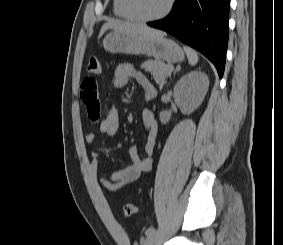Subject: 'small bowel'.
<instances>
[{"instance_id": "obj_1", "label": "small bowel", "mask_w": 283, "mask_h": 245, "mask_svg": "<svg viewBox=\"0 0 283 245\" xmlns=\"http://www.w3.org/2000/svg\"><path fill=\"white\" fill-rule=\"evenodd\" d=\"M131 79H134L141 87L145 101L152 100L156 95V90L144 73L134 68L131 64H119L114 71V85L117 88L124 87ZM80 97L86 108L90 120L96 122L100 119V100L97 80L93 77H86L81 83ZM142 123L145 131V142L143 145L144 157H140L138 148L131 146L128 155L131 164L125 168L112 173L106 178L100 173L101 154L92 152L90 164V175L93 180L99 182L109 190L122 189L135 182L142 172L149 171L154 164V148L158 132V125L154 114L145 109L142 112ZM120 128L119 112L116 106L108 108L104 118L100 120V132L108 136L117 134ZM96 134L90 132L86 135V142L96 141Z\"/></svg>"}]
</instances>
